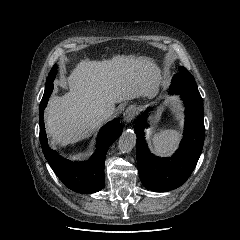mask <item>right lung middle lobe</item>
Here are the masks:
<instances>
[{
  "mask_svg": "<svg viewBox=\"0 0 240 240\" xmlns=\"http://www.w3.org/2000/svg\"><path fill=\"white\" fill-rule=\"evenodd\" d=\"M56 73H57V65L55 64L53 66L52 70L50 71L48 78L46 80L45 91H44V95L41 100L40 106L43 105L44 103L48 102V99L53 91V81L56 77Z\"/></svg>",
  "mask_w": 240,
  "mask_h": 240,
  "instance_id": "dd1d6c3e",
  "label": "right lung middle lobe"
}]
</instances>
